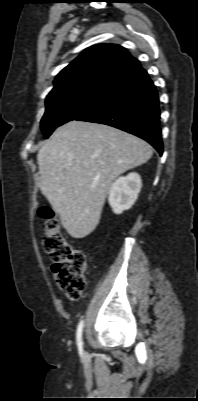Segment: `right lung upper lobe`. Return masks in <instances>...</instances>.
Here are the masks:
<instances>
[{
	"mask_svg": "<svg viewBox=\"0 0 198 401\" xmlns=\"http://www.w3.org/2000/svg\"><path fill=\"white\" fill-rule=\"evenodd\" d=\"M141 68L125 48L98 44L85 49L55 78L47 98L83 87L110 88Z\"/></svg>",
	"mask_w": 198,
	"mask_h": 401,
	"instance_id": "1",
	"label": "right lung upper lobe"
}]
</instances>
